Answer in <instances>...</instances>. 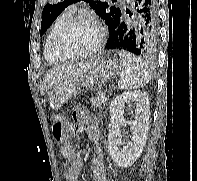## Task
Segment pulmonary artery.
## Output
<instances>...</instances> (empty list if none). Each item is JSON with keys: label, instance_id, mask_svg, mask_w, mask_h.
<instances>
[{"label": "pulmonary artery", "instance_id": "1", "mask_svg": "<svg viewBox=\"0 0 197 181\" xmlns=\"http://www.w3.org/2000/svg\"><path fill=\"white\" fill-rule=\"evenodd\" d=\"M70 9H71L72 11H74V10L76 9V6H75V5H72V6L70 7Z\"/></svg>", "mask_w": 197, "mask_h": 181}]
</instances>
